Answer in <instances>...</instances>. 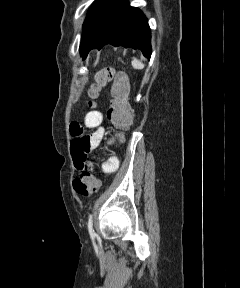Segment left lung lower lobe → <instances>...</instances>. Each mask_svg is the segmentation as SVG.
Masks as SVG:
<instances>
[{
  "mask_svg": "<svg viewBox=\"0 0 240 288\" xmlns=\"http://www.w3.org/2000/svg\"><path fill=\"white\" fill-rule=\"evenodd\" d=\"M150 34L148 20L138 8L130 7L127 0H110L80 53L84 60L93 48L101 49L105 44H111L140 49L144 56L150 58Z\"/></svg>",
  "mask_w": 240,
  "mask_h": 288,
  "instance_id": "0a47b994",
  "label": "left lung lower lobe"
}]
</instances>
